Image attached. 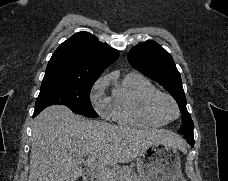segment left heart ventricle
I'll return each instance as SVG.
<instances>
[{
	"mask_svg": "<svg viewBox=\"0 0 228 181\" xmlns=\"http://www.w3.org/2000/svg\"><path fill=\"white\" fill-rule=\"evenodd\" d=\"M157 107H159L160 109H162L163 111L171 114L172 108H171V104L169 103L168 100L164 99V98H160L157 103H156Z\"/></svg>",
	"mask_w": 228,
	"mask_h": 181,
	"instance_id": "obj_1",
	"label": "left heart ventricle"
}]
</instances>
